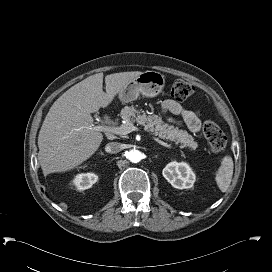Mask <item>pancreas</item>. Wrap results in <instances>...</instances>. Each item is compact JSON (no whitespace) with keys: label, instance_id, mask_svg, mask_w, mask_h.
<instances>
[{"label":"pancreas","instance_id":"1","mask_svg":"<svg viewBox=\"0 0 272 272\" xmlns=\"http://www.w3.org/2000/svg\"><path fill=\"white\" fill-rule=\"evenodd\" d=\"M120 116L126 124L136 122L144 126L145 130L150 131L153 135L161 139L174 141L176 144L180 143L181 147H188L191 150H196L198 147L197 142L186 131L164 123L162 118L155 114L148 113L147 115L144 111L138 110L134 106H125L121 110Z\"/></svg>","mask_w":272,"mask_h":272}]
</instances>
